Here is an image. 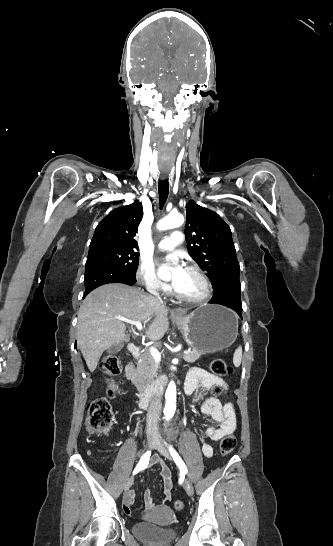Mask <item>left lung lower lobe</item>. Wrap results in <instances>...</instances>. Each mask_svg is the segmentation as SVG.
<instances>
[{"instance_id":"obj_1","label":"left lung lower lobe","mask_w":333,"mask_h":546,"mask_svg":"<svg viewBox=\"0 0 333 546\" xmlns=\"http://www.w3.org/2000/svg\"><path fill=\"white\" fill-rule=\"evenodd\" d=\"M241 286L239 279H231L223 282L214 290V295L209 303L224 305L231 308L242 318Z\"/></svg>"}]
</instances>
